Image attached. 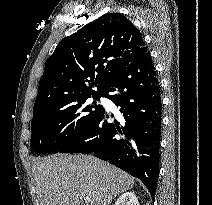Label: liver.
Returning a JSON list of instances; mask_svg holds the SVG:
<instances>
[{
  "mask_svg": "<svg viewBox=\"0 0 212 205\" xmlns=\"http://www.w3.org/2000/svg\"><path fill=\"white\" fill-rule=\"evenodd\" d=\"M37 205H110L134 186V178L94 156L54 155L32 166Z\"/></svg>",
  "mask_w": 212,
  "mask_h": 205,
  "instance_id": "6515ba94",
  "label": "liver"
}]
</instances>
